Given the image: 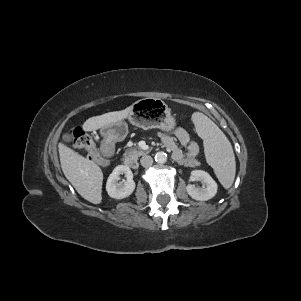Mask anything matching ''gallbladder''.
Masks as SVG:
<instances>
[{
    "label": "gallbladder",
    "mask_w": 301,
    "mask_h": 301,
    "mask_svg": "<svg viewBox=\"0 0 301 301\" xmlns=\"http://www.w3.org/2000/svg\"><path fill=\"white\" fill-rule=\"evenodd\" d=\"M62 139L65 141V142H70L72 141V137L69 135V134H64L62 136Z\"/></svg>",
    "instance_id": "gallbladder-1"
}]
</instances>
